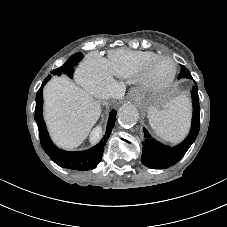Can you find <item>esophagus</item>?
<instances>
[{
    "mask_svg": "<svg viewBox=\"0 0 227 227\" xmlns=\"http://www.w3.org/2000/svg\"><path fill=\"white\" fill-rule=\"evenodd\" d=\"M137 108H138L139 110H144V109L146 108V103H145L144 101H139V102L137 103Z\"/></svg>",
    "mask_w": 227,
    "mask_h": 227,
    "instance_id": "obj_1",
    "label": "esophagus"
}]
</instances>
